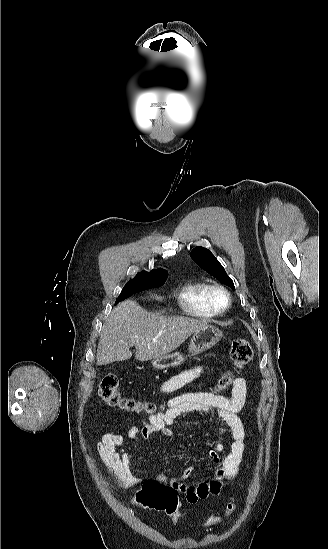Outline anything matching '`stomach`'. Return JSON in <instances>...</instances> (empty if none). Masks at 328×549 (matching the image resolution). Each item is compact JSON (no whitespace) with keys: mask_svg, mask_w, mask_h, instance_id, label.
<instances>
[{"mask_svg":"<svg viewBox=\"0 0 328 549\" xmlns=\"http://www.w3.org/2000/svg\"><path fill=\"white\" fill-rule=\"evenodd\" d=\"M223 333L214 325H206L202 329L195 331L191 337L189 343V353L192 355H199V353H204L207 349L214 347L220 339H222ZM184 361L183 355L180 353H173V355H163L159 359H153L152 367L154 369H168V367H178L182 365Z\"/></svg>","mask_w":328,"mask_h":549,"instance_id":"0dacf381","label":"stomach"}]
</instances>
